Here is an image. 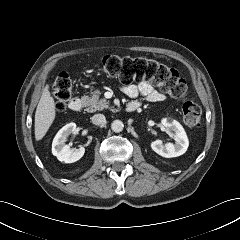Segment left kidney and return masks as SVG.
<instances>
[{
  "mask_svg": "<svg viewBox=\"0 0 240 240\" xmlns=\"http://www.w3.org/2000/svg\"><path fill=\"white\" fill-rule=\"evenodd\" d=\"M164 129L173 131L175 136V144L166 143L161 140H155L151 143V148L154 152L165 158L177 157L184 154L189 146V141L184 128L176 120L164 118L161 121Z\"/></svg>",
  "mask_w": 240,
  "mask_h": 240,
  "instance_id": "left-kidney-1",
  "label": "left kidney"
}]
</instances>
